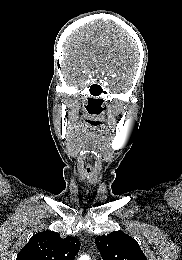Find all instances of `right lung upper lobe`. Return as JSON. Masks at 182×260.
I'll list each match as a JSON object with an SVG mask.
<instances>
[{
  "label": "right lung upper lobe",
  "instance_id": "obj_1",
  "mask_svg": "<svg viewBox=\"0 0 182 260\" xmlns=\"http://www.w3.org/2000/svg\"><path fill=\"white\" fill-rule=\"evenodd\" d=\"M79 249L77 238H61L57 232L43 231L30 238L16 260H74Z\"/></svg>",
  "mask_w": 182,
  "mask_h": 260
}]
</instances>
